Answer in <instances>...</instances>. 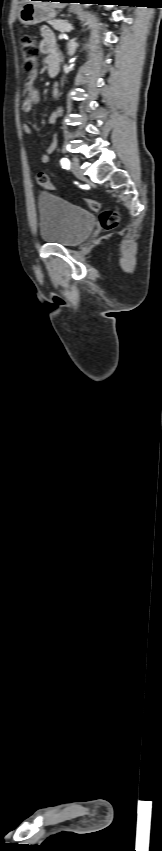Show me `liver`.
<instances>
[{"mask_svg":"<svg viewBox=\"0 0 162 851\" xmlns=\"http://www.w3.org/2000/svg\"><path fill=\"white\" fill-rule=\"evenodd\" d=\"M29 1H30V0H25V3H28ZM35 3H36V4H39V5H40V6H42V7L52 8V9H55V8L62 9V8H64V7L66 6V3H64V2H49V1H45V2H35Z\"/></svg>","mask_w":162,"mask_h":851,"instance_id":"obj_1","label":"liver"}]
</instances>
